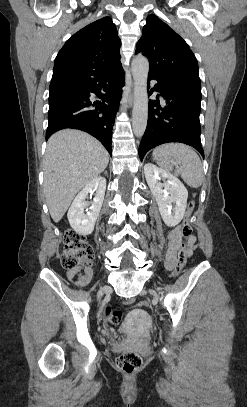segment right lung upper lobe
<instances>
[{"label":"right lung upper lobe","instance_id":"cb5924a9","mask_svg":"<svg viewBox=\"0 0 247 407\" xmlns=\"http://www.w3.org/2000/svg\"><path fill=\"white\" fill-rule=\"evenodd\" d=\"M120 38L110 17H103L66 41L54 61L50 90L83 87L91 78L121 66Z\"/></svg>","mask_w":247,"mask_h":407}]
</instances>
